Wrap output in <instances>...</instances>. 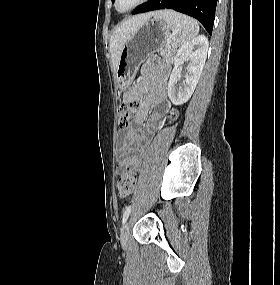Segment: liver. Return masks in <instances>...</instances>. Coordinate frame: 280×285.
Returning <instances> with one entry per match:
<instances>
[{"mask_svg":"<svg viewBox=\"0 0 280 285\" xmlns=\"http://www.w3.org/2000/svg\"><path fill=\"white\" fill-rule=\"evenodd\" d=\"M156 13L157 12H150L132 17L118 25L114 30L110 38V53L115 70L126 41L135 33L140 25L149 20L152 16L155 17Z\"/></svg>","mask_w":280,"mask_h":285,"instance_id":"liver-1","label":"liver"}]
</instances>
